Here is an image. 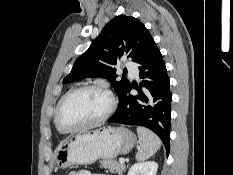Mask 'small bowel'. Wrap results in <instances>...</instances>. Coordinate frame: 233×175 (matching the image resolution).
Segmentation results:
<instances>
[{
    "mask_svg": "<svg viewBox=\"0 0 233 175\" xmlns=\"http://www.w3.org/2000/svg\"><path fill=\"white\" fill-rule=\"evenodd\" d=\"M68 175H105V174L92 173L88 170H78V171H72Z\"/></svg>",
    "mask_w": 233,
    "mask_h": 175,
    "instance_id": "1",
    "label": "small bowel"
}]
</instances>
